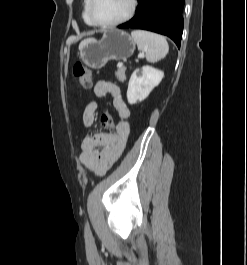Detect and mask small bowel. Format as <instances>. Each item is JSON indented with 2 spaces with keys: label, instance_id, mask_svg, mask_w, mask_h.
I'll list each match as a JSON object with an SVG mask.
<instances>
[{
  "label": "small bowel",
  "instance_id": "1",
  "mask_svg": "<svg viewBox=\"0 0 247 265\" xmlns=\"http://www.w3.org/2000/svg\"><path fill=\"white\" fill-rule=\"evenodd\" d=\"M94 94L99 98L111 95L119 120L113 133L90 134L81 142L80 163L95 175L102 176L125 149L130 133L128 123L130 109L122 97L120 88L111 82L103 80L96 82ZM97 108L96 101L86 105L82 116L85 127L92 126Z\"/></svg>",
  "mask_w": 247,
  "mask_h": 265
}]
</instances>
